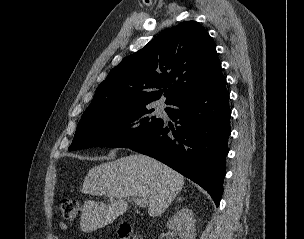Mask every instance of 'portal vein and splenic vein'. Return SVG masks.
<instances>
[{"label":"portal vein and splenic vein","mask_w":304,"mask_h":239,"mask_svg":"<svg viewBox=\"0 0 304 239\" xmlns=\"http://www.w3.org/2000/svg\"><path fill=\"white\" fill-rule=\"evenodd\" d=\"M133 202L140 207H145L148 204L145 198H133Z\"/></svg>","instance_id":"portal-vein-and-splenic-vein-1"}]
</instances>
